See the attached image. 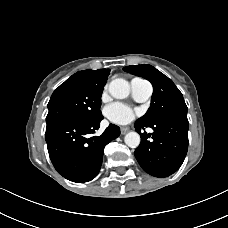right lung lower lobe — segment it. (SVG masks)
<instances>
[{
    "mask_svg": "<svg viewBox=\"0 0 228 228\" xmlns=\"http://www.w3.org/2000/svg\"><path fill=\"white\" fill-rule=\"evenodd\" d=\"M100 115L90 121L66 120L46 128L45 139L53 166L73 182L92 180L101 168L104 147L120 135V128L110 124L100 136Z\"/></svg>",
    "mask_w": 228,
    "mask_h": 228,
    "instance_id": "obj_1",
    "label": "right lung lower lobe"
}]
</instances>
